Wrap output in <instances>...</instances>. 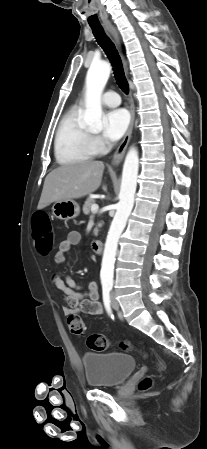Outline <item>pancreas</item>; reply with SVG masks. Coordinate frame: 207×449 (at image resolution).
<instances>
[{
    "label": "pancreas",
    "mask_w": 207,
    "mask_h": 449,
    "mask_svg": "<svg viewBox=\"0 0 207 449\" xmlns=\"http://www.w3.org/2000/svg\"><path fill=\"white\" fill-rule=\"evenodd\" d=\"M93 204H95V199H93V198H87V200L85 201V203H84V205H83V213L85 214V215H89L90 214V211H91V207H92V205ZM102 226V223H98L97 224V227L94 229V231H93V233H94V235L95 236H97V234H98V231H99V227H101Z\"/></svg>",
    "instance_id": "obj_1"
}]
</instances>
